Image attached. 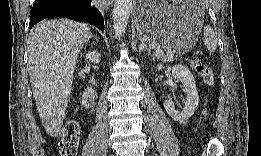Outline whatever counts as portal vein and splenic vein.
<instances>
[{
    "mask_svg": "<svg viewBox=\"0 0 261 156\" xmlns=\"http://www.w3.org/2000/svg\"><path fill=\"white\" fill-rule=\"evenodd\" d=\"M155 57H161L162 55H164V52L162 49H157L154 53Z\"/></svg>",
    "mask_w": 261,
    "mask_h": 156,
    "instance_id": "1",
    "label": "portal vein and splenic vein"
}]
</instances>
